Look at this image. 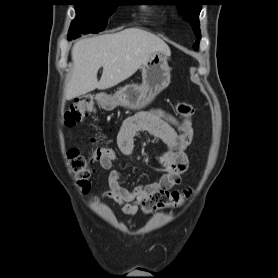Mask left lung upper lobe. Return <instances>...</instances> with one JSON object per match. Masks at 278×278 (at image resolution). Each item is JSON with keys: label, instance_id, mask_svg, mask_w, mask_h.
Returning a JSON list of instances; mask_svg holds the SVG:
<instances>
[{"label": "left lung upper lobe", "instance_id": "obj_1", "mask_svg": "<svg viewBox=\"0 0 278 278\" xmlns=\"http://www.w3.org/2000/svg\"><path fill=\"white\" fill-rule=\"evenodd\" d=\"M171 2L168 4H175L181 10L183 17L191 24L193 31L197 38H200L199 20L198 16L201 11L202 3L200 0H166ZM199 41H196L193 48L198 49Z\"/></svg>", "mask_w": 278, "mask_h": 278}]
</instances>
